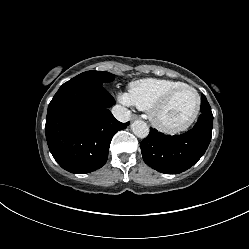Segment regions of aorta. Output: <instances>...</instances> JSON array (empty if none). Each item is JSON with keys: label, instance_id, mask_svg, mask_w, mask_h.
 Instances as JSON below:
<instances>
[{"label": "aorta", "instance_id": "obj_1", "mask_svg": "<svg viewBox=\"0 0 249 249\" xmlns=\"http://www.w3.org/2000/svg\"><path fill=\"white\" fill-rule=\"evenodd\" d=\"M132 132L139 138H145L149 134V127L146 122L142 120H136L131 124Z\"/></svg>", "mask_w": 249, "mask_h": 249}]
</instances>
